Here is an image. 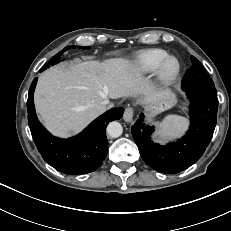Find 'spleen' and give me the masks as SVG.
I'll list each match as a JSON object with an SVG mask.
<instances>
[{
  "mask_svg": "<svg viewBox=\"0 0 231 231\" xmlns=\"http://www.w3.org/2000/svg\"><path fill=\"white\" fill-rule=\"evenodd\" d=\"M162 129L159 131L161 138L181 134L187 128V120L183 117L171 115L161 123Z\"/></svg>",
  "mask_w": 231,
  "mask_h": 231,
  "instance_id": "1",
  "label": "spleen"
}]
</instances>
